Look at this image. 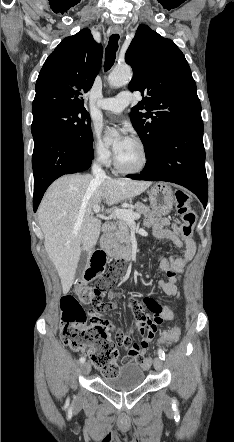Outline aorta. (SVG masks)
<instances>
[{
    "mask_svg": "<svg viewBox=\"0 0 234 442\" xmlns=\"http://www.w3.org/2000/svg\"><path fill=\"white\" fill-rule=\"evenodd\" d=\"M132 78V70L130 66H120L113 69L108 76V83L111 87H121L126 85ZM106 142H111L110 137L105 138Z\"/></svg>",
    "mask_w": 234,
    "mask_h": 442,
    "instance_id": "obj_1",
    "label": "aorta"
}]
</instances>
